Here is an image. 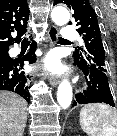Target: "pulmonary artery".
<instances>
[{"instance_id": "obj_1", "label": "pulmonary artery", "mask_w": 117, "mask_h": 136, "mask_svg": "<svg viewBox=\"0 0 117 136\" xmlns=\"http://www.w3.org/2000/svg\"><path fill=\"white\" fill-rule=\"evenodd\" d=\"M62 37L67 40L78 39V33L75 29L65 26L62 30Z\"/></svg>"}]
</instances>
